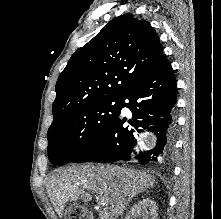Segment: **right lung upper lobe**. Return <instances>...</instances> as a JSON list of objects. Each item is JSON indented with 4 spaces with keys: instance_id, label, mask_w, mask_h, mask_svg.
<instances>
[{
    "instance_id": "obj_1",
    "label": "right lung upper lobe",
    "mask_w": 221,
    "mask_h": 219,
    "mask_svg": "<svg viewBox=\"0 0 221 219\" xmlns=\"http://www.w3.org/2000/svg\"><path fill=\"white\" fill-rule=\"evenodd\" d=\"M149 22L124 14L104 26L70 58L56 83L54 121L77 107L120 99L164 55Z\"/></svg>"
}]
</instances>
